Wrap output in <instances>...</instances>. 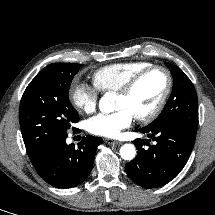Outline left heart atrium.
<instances>
[{
	"mask_svg": "<svg viewBox=\"0 0 215 215\" xmlns=\"http://www.w3.org/2000/svg\"><path fill=\"white\" fill-rule=\"evenodd\" d=\"M133 114L125 108L109 114H98L87 122L88 131L106 138H116L120 132L133 122Z\"/></svg>",
	"mask_w": 215,
	"mask_h": 215,
	"instance_id": "39dd6f15",
	"label": "left heart atrium"
}]
</instances>
